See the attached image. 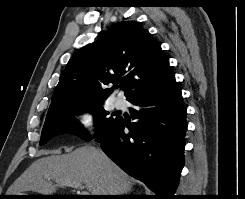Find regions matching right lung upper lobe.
Masks as SVG:
<instances>
[{"label": "right lung upper lobe", "instance_id": "right-lung-upper-lobe-1", "mask_svg": "<svg viewBox=\"0 0 245 199\" xmlns=\"http://www.w3.org/2000/svg\"><path fill=\"white\" fill-rule=\"evenodd\" d=\"M174 81L160 43L139 22H120L70 58L47 116L74 104L102 103L113 91L103 89V84L122 83L130 101L160 91Z\"/></svg>", "mask_w": 245, "mask_h": 199}]
</instances>
